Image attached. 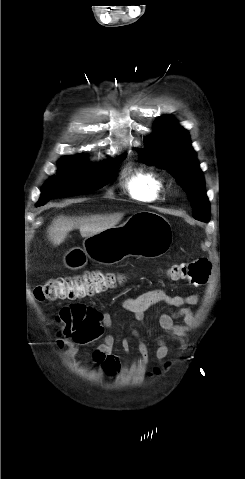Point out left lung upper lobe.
Listing matches in <instances>:
<instances>
[{
	"label": "left lung upper lobe",
	"mask_w": 245,
	"mask_h": 479,
	"mask_svg": "<svg viewBox=\"0 0 245 479\" xmlns=\"http://www.w3.org/2000/svg\"><path fill=\"white\" fill-rule=\"evenodd\" d=\"M155 127V133L146 140L144 149L138 150L140 160L167 169L187 193L194 218L208 222L210 206L203 173L187 131L170 117H161Z\"/></svg>",
	"instance_id": "5c2ea615"
}]
</instances>
